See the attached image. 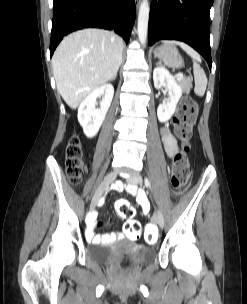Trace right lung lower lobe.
Instances as JSON below:
<instances>
[{"instance_id": "98d812e1", "label": "right lung lower lobe", "mask_w": 247, "mask_h": 304, "mask_svg": "<svg viewBox=\"0 0 247 304\" xmlns=\"http://www.w3.org/2000/svg\"><path fill=\"white\" fill-rule=\"evenodd\" d=\"M50 57L62 38L83 28H104L126 42L135 20V0H53Z\"/></svg>"}]
</instances>
